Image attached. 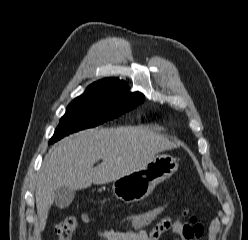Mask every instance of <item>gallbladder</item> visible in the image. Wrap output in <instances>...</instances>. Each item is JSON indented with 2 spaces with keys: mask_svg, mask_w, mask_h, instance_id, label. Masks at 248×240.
I'll list each match as a JSON object with an SVG mask.
<instances>
[{
  "mask_svg": "<svg viewBox=\"0 0 248 240\" xmlns=\"http://www.w3.org/2000/svg\"><path fill=\"white\" fill-rule=\"evenodd\" d=\"M75 196L73 189L62 186L55 191V204L58 208L64 209L70 205Z\"/></svg>",
  "mask_w": 248,
  "mask_h": 240,
  "instance_id": "bac80fb5",
  "label": "gallbladder"
}]
</instances>
